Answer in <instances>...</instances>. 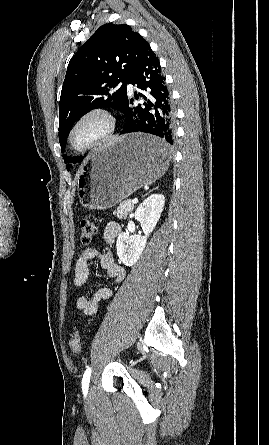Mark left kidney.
Returning <instances> with one entry per match:
<instances>
[{"label":"left kidney","mask_w":269,"mask_h":445,"mask_svg":"<svg viewBox=\"0 0 269 445\" xmlns=\"http://www.w3.org/2000/svg\"><path fill=\"white\" fill-rule=\"evenodd\" d=\"M165 204L162 194H152L135 211V219L141 223L144 236L121 233L117 239V255L126 266H133L142 254L147 238L156 227Z\"/></svg>","instance_id":"left-kidney-1"}]
</instances>
